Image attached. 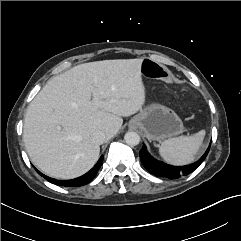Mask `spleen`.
I'll return each mask as SVG.
<instances>
[{
    "mask_svg": "<svg viewBox=\"0 0 241 241\" xmlns=\"http://www.w3.org/2000/svg\"><path fill=\"white\" fill-rule=\"evenodd\" d=\"M204 137L205 130H200L191 136L167 139L159 147L160 155L167 163L172 165L190 164L194 161Z\"/></svg>",
    "mask_w": 241,
    "mask_h": 241,
    "instance_id": "3e777b00",
    "label": "spleen"
}]
</instances>
